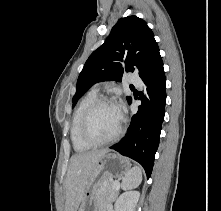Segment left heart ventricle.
I'll use <instances>...</instances> for the list:
<instances>
[{"label":"left heart ventricle","instance_id":"1","mask_svg":"<svg viewBox=\"0 0 221 211\" xmlns=\"http://www.w3.org/2000/svg\"><path fill=\"white\" fill-rule=\"evenodd\" d=\"M121 124V114L114 105H101L92 114L89 122V133L97 140L112 137Z\"/></svg>","mask_w":221,"mask_h":211}]
</instances>
